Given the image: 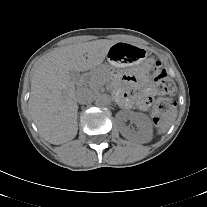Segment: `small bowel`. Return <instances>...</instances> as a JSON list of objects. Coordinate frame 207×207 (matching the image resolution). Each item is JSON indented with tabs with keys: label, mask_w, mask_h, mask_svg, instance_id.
<instances>
[{
	"label": "small bowel",
	"mask_w": 207,
	"mask_h": 207,
	"mask_svg": "<svg viewBox=\"0 0 207 207\" xmlns=\"http://www.w3.org/2000/svg\"><path fill=\"white\" fill-rule=\"evenodd\" d=\"M126 81L135 90L133 92L122 90L118 93V98L126 105L136 103L140 108L146 109L151 104L156 93L155 85L146 75V67L140 69L138 78L129 76Z\"/></svg>",
	"instance_id": "c3829d8e"
}]
</instances>
